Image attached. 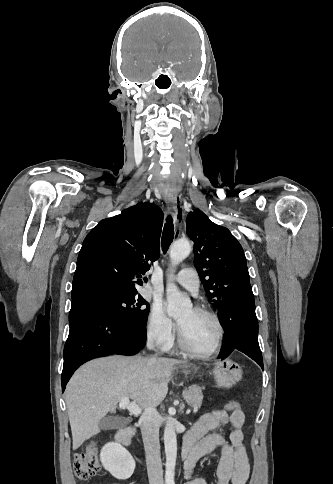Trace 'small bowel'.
Segmentation results:
<instances>
[{
  "label": "small bowel",
  "mask_w": 333,
  "mask_h": 484,
  "mask_svg": "<svg viewBox=\"0 0 333 484\" xmlns=\"http://www.w3.org/2000/svg\"><path fill=\"white\" fill-rule=\"evenodd\" d=\"M245 415L241 409L226 411L217 409L204 414L187 432L184 440L193 443L191 460L185 466V484H207L200 477L192 478L196 462L220 447L221 458L217 467L216 484H245L250 473V463L244 444L243 425ZM231 426L227 438L219 428Z\"/></svg>",
  "instance_id": "1"
}]
</instances>
